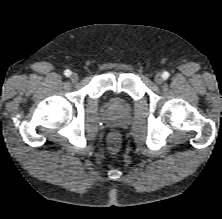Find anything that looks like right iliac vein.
Here are the masks:
<instances>
[{"label": "right iliac vein", "instance_id": "obj_1", "mask_svg": "<svg viewBox=\"0 0 222 219\" xmlns=\"http://www.w3.org/2000/svg\"><path fill=\"white\" fill-rule=\"evenodd\" d=\"M78 79H79V76H78L77 73L73 72V73L70 75V80H71L72 82H77Z\"/></svg>", "mask_w": 222, "mask_h": 219}]
</instances>
